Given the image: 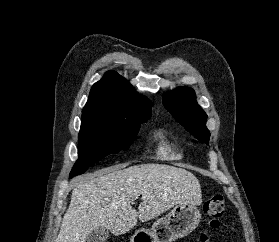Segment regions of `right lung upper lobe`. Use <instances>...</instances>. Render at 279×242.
<instances>
[{"label":"right lung upper lobe","instance_id":"obj_1","mask_svg":"<svg viewBox=\"0 0 279 242\" xmlns=\"http://www.w3.org/2000/svg\"><path fill=\"white\" fill-rule=\"evenodd\" d=\"M151 101L139 95L115 71H108L95 83L83 108L82 118H100L121 124L147 121L151 117Z\"/></svg>","mask_w":279,"mask_h":242}]
</instances>
